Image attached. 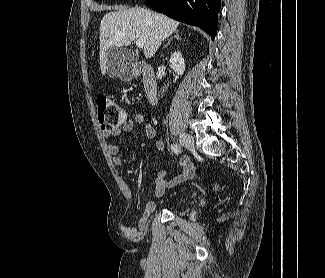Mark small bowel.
Returning a JSON list of instances; mask_svg holds the SVG:
<instances>
[{"instance_id":"1","label":"small bowel","mask_w":325,"mask_h":278,"mask_svg":"<svg viewBox=\"0 0 325 278\" xmlns=\"http://www.w3.org/2000/svg\"><path fill=\"white\" fill-rule=\"evenodd\" d=\"M136 125H144L146 140L152 141L156 136V129L152 122H150L146 116L142 113H137L132 119H128L125 123H123L120 127L114 130H105L102 134L105 137H118L122 132L129 133L132 132ZM156 147L160 152L164 151V142L162 140H158L156 143ZM108 152L112 156V161L115 165H121L122 159L120 157L121 147L118 144L112 143L109 144ZM180 173L173 177L172 179H167V175L165 171H160L158 173L157 179L155 181L154 187V195L159 198L164 195L165 190L167 188L178 185L194 175V165L189 157L184 156L180 160ZM154 203L149 202L147 204V209L151 210L154 208Z\"/></svg>"}]
</instances>
